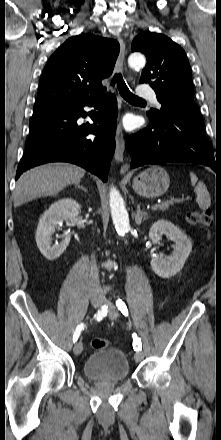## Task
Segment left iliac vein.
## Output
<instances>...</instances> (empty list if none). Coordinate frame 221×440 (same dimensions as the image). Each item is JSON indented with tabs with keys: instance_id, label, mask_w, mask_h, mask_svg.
Returning <instances> with one entry per match:
<instances>
[{
	"instance_id": "left-iliac-vein-1",
	"label": "left iliac vein",
	"mask_w": 221,
	"mask_h": 440,
	"mask_svg": "<svg viewBox=\"0 0 221 440\" xmlns=\"http://www.w3.org/2000/svg\"><path fill=\"white\" fill-rule=\"evenodd\" d=\"M108 305H109V317L111 319H115L118 316V311L117 308L115 307L114 304H112L110 301H107ZM135 361L136 362H140L143 359V353L141 351H137L135 353Z\"/></svg>"
}]
</instances>
